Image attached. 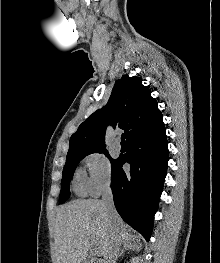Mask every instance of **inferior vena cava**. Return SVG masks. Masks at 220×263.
<instances>
[{
	"label": "inferior vena cava",
	"mask_w": 220,
	"mask_h": 263,
	"mask_svg": "<svg viewBox=\"0 0 220 263\" xmlns=\"http://www.w3.org/2000/svg\"><path fill=\"white\" fill-rule=\"evenodd\" d=\"M101 202L106 216L110 220H114V218L117 216V212L114 206L113 194H112L110 183L106 184L105 187L103 188ZM114 231H117V229L114 228ZM120 244L121 242L120 239L118 238V235H114L112 238V248L111 251L109 252L106 263H116Z\"/></svg>",
	"instance_id": "1"
}]
</instances>
